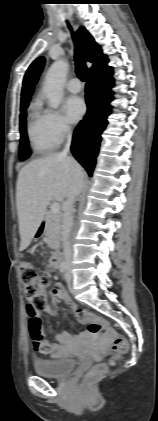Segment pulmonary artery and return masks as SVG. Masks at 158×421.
I'll list each match as a JSON object with an SVG mask.
<instances>
[{"label": "pulmonary artery", "instance_id": "1", "mask_svg": "<svg viewBox=\"0 0 158 421\" xmlns=\"http://www.w3.org/2000/svg\"><path fill=\"white\" fill-rule=\"evenodd\" d=\"M66 88L72 93H78L82 89V84L78 78H72L67 82Z\"/></svg>", "mask_w": 158, "mask_h": 421}]
</instances>
